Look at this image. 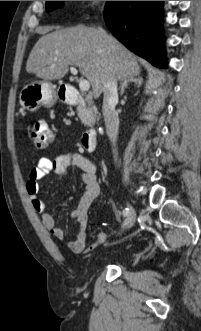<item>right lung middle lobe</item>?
I'll list each match as a JSON object with an SVG mask.
<instances>
[{
	"mask_svg": "<svg viewBox=\"0 0 201 331\" xmlns=\"http://www.w3.org/2000/svg\"><path fill=\"white\" fill-rule=\"evenodd\" d=\"M62 5V1H46V11L49 12Z\"/></svg>",
	"mask_w": 201,
	"mask_h": 331,
	"instance_id": "1",
	"label": "right lung middle lobe"
}]
</instances>
